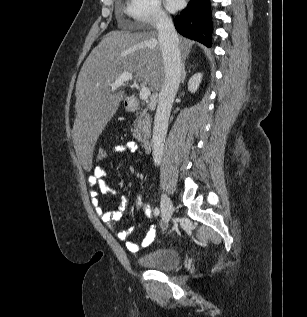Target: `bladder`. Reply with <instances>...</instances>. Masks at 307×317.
<instances>
[{
	"mask_svg": "<svg viewBox=\"0 0 307 317\" xmlns=\"http://www.w3.org/2000/svg\"><path fill=\"white\" fill-rule=\"evenodd\" d=\"M136 262L147 269L169 270L179 266L180 254L175 248H159L137 258Z\"/></svg>",
	"mask_w": 307,
	"mask_h": 317,
	"instance_id": "31cf9c89",
	"label": "bladder"
}]
</instances>
